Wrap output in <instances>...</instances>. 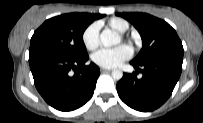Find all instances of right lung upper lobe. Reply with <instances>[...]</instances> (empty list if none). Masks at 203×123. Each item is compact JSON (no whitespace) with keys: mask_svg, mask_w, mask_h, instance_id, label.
<instances>
[{"mask_svg":"<svg viewBox=\"0 0 203 123\" xmlns=\"http://www.w3.org/2000/svg\"><path fill=\"white\" fill-rule=\"evenodd\" d=\"M87 15H88V17L92 20V21H94V20H96V19H99V18H101V17H103L104 15H102V14H89V13H86Z\"/></svg>","mask_w":203,"mask_h":123,"instance_id":"right-lung-upper-lobe-1","label":"right lung upper lobe"}]
</instances>
